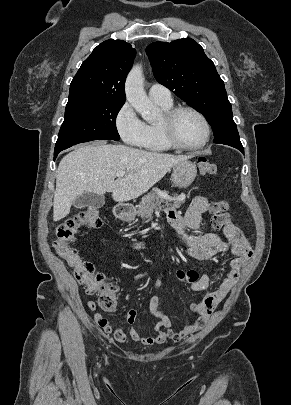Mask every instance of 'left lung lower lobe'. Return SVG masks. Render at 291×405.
Here are the masks:
<instances>
[{
    "mask_svg": "<svg viewBox=\"0 0 291 405\" xmlns=\"http://www.w3.org/2000/svg\"><path fill=\"white\" fill-rule=\"evenodd\" d=\"M232 147H235V148H237L238 150H240L242 153H244L243 146H237V145H235V146H232Z\"/></svg>",
    "mask_w": 291,
    "mask_h": 405,
    "instance_id": "left-lung-lower-lobe-1",
    "label": "left lung lower lobe"
}]
</instances>
